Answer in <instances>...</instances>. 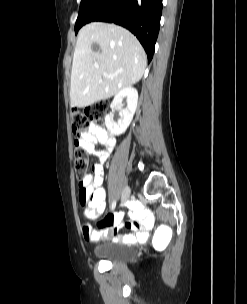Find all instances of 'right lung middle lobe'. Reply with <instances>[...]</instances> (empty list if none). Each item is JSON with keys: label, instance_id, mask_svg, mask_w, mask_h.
I'll list each match as a JSON object with an SVG mask.
<instances>
[{"label": "right lung middle lobe", "instance_id": "obj_1", "mask_svg": "<svg viewBox=\"0 0 247 304\" xmlns=\"http://www.w3.org/2000/svg\"><path fill=\"white\" fill-rule=\"evenodd\" d=\"M103 0H81L78 18L75 25V33L82 27L85 18L102 2Z\"/></svg>", "mask_w": 247, "mask_h": 304}]
</instances>
